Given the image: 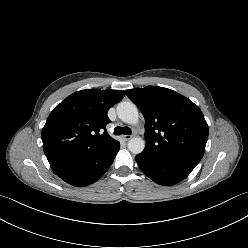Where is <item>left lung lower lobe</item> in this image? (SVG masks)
<instances>
[{"instance_id":"left-lung-lower-lobe-1","label":"left lung lower lobe","mask_w":248,"mask_h":248,"mask_svg":"<svg viewBox=\"0 0 248 248\" xmlns=\"http://www.w3.org/2000/svg\"><path fill=\"white\" fill-rule=\"evenodd\" d=\"M136 162L150 179L166 186L182 181L193 170L192 167L157 159L144 153L136 156Z\"/></svg>"}]
</instances>
